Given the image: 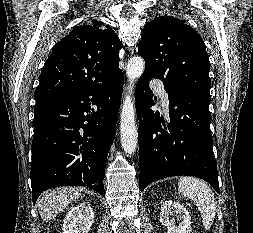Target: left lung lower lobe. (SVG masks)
<instances>
[{
    "mask_svg": "<svg viewBox=\"0 0 253 233\" xmlns=\"http://www.w3.org/2000/svg\"><path fill=\"white\" fill-rule=\"evenodd\" d=\"M153 76L143 73L136 92L139 121V189L169 176L190 175L206 180L218 193V173L210 131V94L191 90L168 93L170 123L165 125L155 104L149 81ZM162 121V125H161Z\"/></svg>",
    "mask_w": 253,
    "mask_h": 233,
    "instance_id": "obj_1",
    "label": "left lung lower lobe"
}]
</instances>
